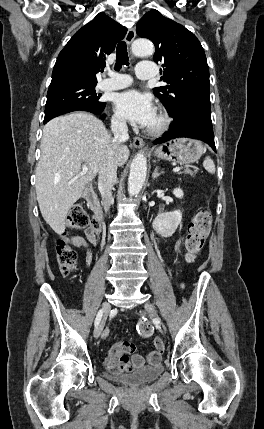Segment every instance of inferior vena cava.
Segmentation results:
<instances>
[{"instance_id":"602c4592","label":"inferior vena cava","mask_w":264,"mask_h":429,"mask_svg":"<svg viewBox=\"0 0 264 429\" xmlns=\"http://www.w3.org/2000/svg\"><path fill=\"white\" fill-rule=\"evenodd\" d=\"M111 129L114 134L112 147L115 150L123 142L129 139L128 128L124 118L116 117L111 121ZM117 181V162L114 159V152L111 151L103 160L98 177V188L101 193L102 203L105 211L113 204L112 188Z\"/></svg>"}]
</instances>
